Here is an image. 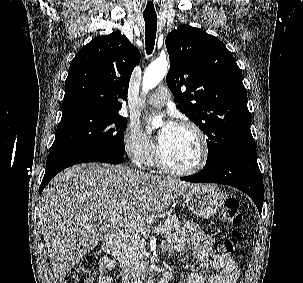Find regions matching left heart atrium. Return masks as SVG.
<instances>
[{
  "label": "left heart atrium",
  "instance_id": "obj_1",
  "mask_svg": "<svg viewBox=\"0 0 303 283\" xmlns=\"http://www.w3.org/2000/svg\"><path fill=\"white\" fill-rule=\"evenodd\" d=\"M178 126L172 119H167L162 129L157 135V142L159 146H162L174 133Z\"/></svg>",
  "mask_w": 303,
  "mask_h": 283
}]
</instances>
